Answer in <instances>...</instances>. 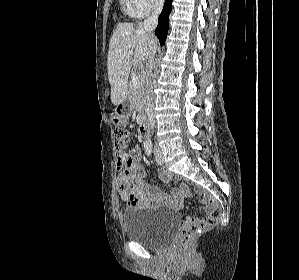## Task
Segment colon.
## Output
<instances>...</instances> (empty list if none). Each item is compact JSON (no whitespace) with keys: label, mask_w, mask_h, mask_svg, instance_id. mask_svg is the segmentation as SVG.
<instances>
[{"label":"colon","mask_w":299,"mask_h":280,"mask_svg":"<svg viewBox=\"0 0 299 280\" xmlns=\"http://www.w3.org/2000/svg\"><path fill=\"white\" fill-rule=\"evenodd\" d=\"M114 140L116 146L117 160L120 167H128L131 162V157L127 151L129 141V132L123 128H115ZM219 213L214 209L209 215L203 218H193L186 222L181 235L180 241L182 245H187L196 235L205 228L213 225L218 219Z\"/></svg>","instance_id":"obj_1"}]
</instances>
